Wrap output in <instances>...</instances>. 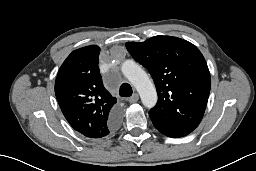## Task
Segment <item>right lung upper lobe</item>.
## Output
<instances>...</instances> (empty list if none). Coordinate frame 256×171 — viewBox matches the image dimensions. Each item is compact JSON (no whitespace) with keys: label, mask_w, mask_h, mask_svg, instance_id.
<instances>
[{"label":"right lung upper lobe","mask_w":256,"mask_h":171,"mask_svg":"<svg viewBox=\"0 0 256 171\" xmlns=\"http://www.w3.org/2000/svg\"><path fill=\"white\" fill-rule=\"evenodd\" d=\"M96 45L74 50L61 65L55 94L63 115L79 133L102 138L110 133L108 121L117 110L113 97L103 86Z\"/></svg>","instance_id":"1"}]
</instances>
